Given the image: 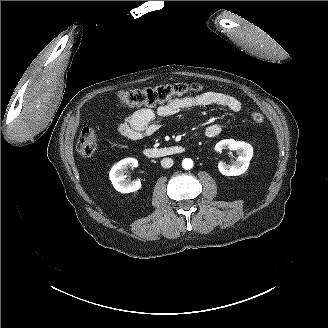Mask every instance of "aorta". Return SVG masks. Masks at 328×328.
Returning <instances> with one entry per match:
<instances>
[{
  "label": "aorta",
  "mask_w": 328,
  "mask_h": 328,
  "mask_svg": "<svg viewBox=\"0 0 328 328\" xmlns=\"http://www.w3.org/2000/svg\"><path fill=\"white\" fill-rule=\"evenodd\" d=\"M182 167L186 170H190L193 167V161L189 158H185L182 161Z\"/></svg>",
  "instance_id": "762f6f07"
}]
</instances>
